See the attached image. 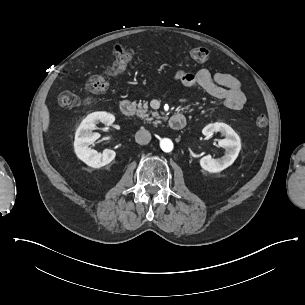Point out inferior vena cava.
I'll return each mask as SVG.
<instances>
[{
    "label": "inferior vena cava",
    "instance_id": "602c4592",
    "mask_svg": "<svg viewBox=\"0 0 305 305\" xmlns=\"http://www.w3.org/2000/svg\"><path fill=\"white\" fill-rule=\"evenodd\" d=\"M135 140L138 144L145 145L151 140V134L146 129H140L135 134Z\"/></svg>",
    "mask_w": 305,
    "mask_h": 305
}]
</instances>
